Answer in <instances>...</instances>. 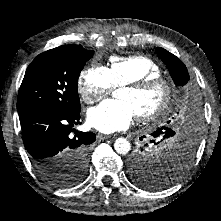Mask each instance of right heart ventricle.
I'll return each mask as SVG.
<instances>
[{
    "label": "right heart ventricle",
    "mask_w": 221,
    "mask_h": 221,
    "mask_svg": "<svg viewBox=\"0 0 221 221\" xmlns=\"http://www.w3.org/2000/svg\"><path fill=\"white\" fill-rule=\"evenodd\" d=\"M108 71L115 86H123L127 83L162 74L161 67L143 55L113 57Z\"/></svg>",
    "instance_id": "right-heart-ventricle-1"
}]
</instances>
